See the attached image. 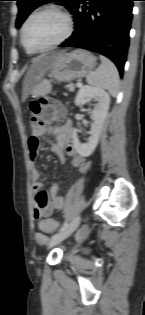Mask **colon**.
<instances>
[{
	"instance_id": "obj_1",
	"label": "colon",
	"mask_w": 145,
	"mask_h": 315,
	"mask_svg": "<svg viewBox=\"0 0 145 315\" xmlns=\"http://www.w3.org/2000/svg\"><path fill=\"white\" fill-rule=\"evenodd\" d=\"M63 113V108L60 104L49 101L46 98L34 100L30 104V119L29 127L32 130H36L40 126L50 123L57 119ZM40 227L43 231L52 233L58 227V222L46 218L41 221Z\"/></svg>"
}]
</instances>
